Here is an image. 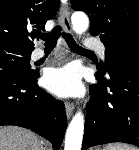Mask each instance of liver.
I'll return each instance as SVG.
<instances>
[{
    "label": "liver",
    "mask_w": 139,
    "mask_h": 150,
    "mask_svg": "<svg viewBox=\"0 0 139 150\" xmlns=\"http://www.w3.org/2000/svg\"><path fill=\"white\" fill-rule=\"evenodd\" d=\"M0 150H43L42 141L30 130L0 127Z\"/></svg>",
    "instance_id": "1"
}]
</instances>
